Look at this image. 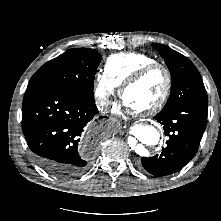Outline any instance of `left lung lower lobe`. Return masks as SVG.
I'll return each instance as SVG.
<instances>
[{"label":"left lung lower lobe","instance_id":"0a47b994","mask_svg":"<svg viewBox=\"0 0 221 221\" xmlns=\"http://www.w3.org/2000/svg\"><path fill=\"white\" fill-rule=\"evenodd\" d=\"M208 101L192 100L177 107L163 109L154 118L168 136L161 153L142 158L143 167L156 176L181 170L197 153L207 125Z\"/></svg>","mask_w":221,"mask_h":221}]
</instances>
